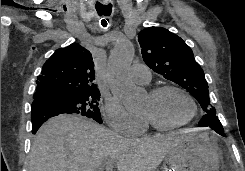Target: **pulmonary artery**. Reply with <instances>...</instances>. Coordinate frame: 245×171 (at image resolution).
<instances>
[{"label":"pulmonary artery","instance_id":"1","mask_svg":"<svg viewBox=\"0 0 245 171\" xmlns=\"http://www.w3.org/2000/svg\"><path fill=\"white\" fill-rule=\"evenodd\" d=\"M129 77L138 84H148L151 81L150 69L141 63H134L129 70Z\"/></svg>","mask_w":245,"mask_h":171}]
</instances>
